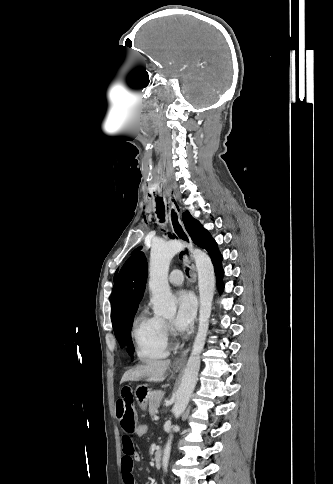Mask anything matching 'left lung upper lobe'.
<instances>
[{
    "label": "left lung upper lobe",
    "instance_id": "left-lung-upper-lobe-1",
    "mask_svg": "<svg viewBox=\"0 0 333 484\" xmlns=\"http://www.w3.org/2000/svg\"><path fill=\"white\" fill-rule=\"evenodd\" d=\"M182 219H183L185 228H186L187 232L189 233V236L191 237L193 242L195 244H197L198 246H201L202 245L201 242H202V239H203V236H204V233H205L206 230L202 227V225L199 223L198 220L194 219L190 215V213L188 211H186L182 214ZM140 249H141V247L134 250V252H136ZM116 273H117V271H116ZM116 273H115V276H116Z\"/></svg>",
    "mask_w": 333,
    "mask_h": 484
}]
</instances>
